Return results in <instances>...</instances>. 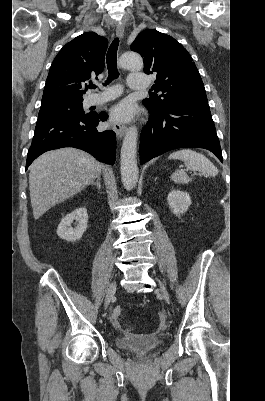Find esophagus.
Returning <instances> with one entry per match:
<instances>
[{
	"instance_id": "esophagus-1",
	"label": "esophagus",
	"mask_w": 265,
	"mask_h": 401,
	"mask_svg": "<svg viewBox=\"0 0 265 401\" xmlns=\"http://www.w3.org/2000/svg\"><path fill=\"white\" fill-rule=\"evenodd\" d=\"M116 34L119 38H123L124 36V26L121 24L117 25ZM112 129L115 131L119 138L123 137L126 132V125L122 122H115L112 125Z\"/></svg>"
}]
</instances>
